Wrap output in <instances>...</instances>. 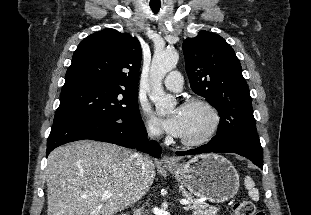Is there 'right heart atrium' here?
I'll return each instance as SVG.
<instances>
[{"mask_svg":"<svg viewBox=\"0 0 311 215\" xmlns=\"http://www.w3.org/2000/svg\"><path fill=\"white\" fill-rule=\"evenodd\" d=\"M143 116L144 129L150 137H158L161 134V129L156 119L151 115L149 109L146 106L141 107Z\"/></svg>","mask_w":311,"mask_h":215,"instance_id":"1","label":"right heart atrium"}]
</instances>
